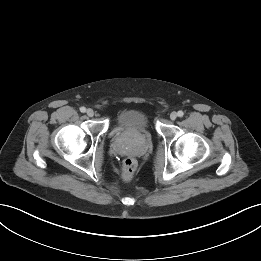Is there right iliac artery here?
<instances>
[{"label":"right iliac artery","instance_id":"obj_1","mask_svg":"<svg viewBox=\"0 0 261 261\" xmlns=\"http://www.w3.org/2000/svg\"><path fill=\"white\" fill-rule=\"evenodd\" d=\"M80 111H81L82 113H84V112H86V108H85V107H81V108H80Z\"/></svg>","mask_w":261,"mask_h":261}]
</instances>
